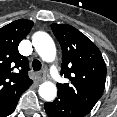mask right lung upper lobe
I'll return each mask as SVG.
<instances>
[{
    "instance_id": "cb5924a9",
    "label": "right lung upper lobe",
    "mask_w": 117,
    "mask_h": 117,
    "mask_svg": "<svg viewBox=\"0 0 117 117\" xmlns=\"http://www.w3.org/2000/svg\"><path fill=\"white\" fill-rule=\"evenodd\" d=\"M32 26V21L19 19L0 29V117L16 107L22 93L33 83L27 73L29 62L18 51Z\"/></svg>"
}]
</instances>
